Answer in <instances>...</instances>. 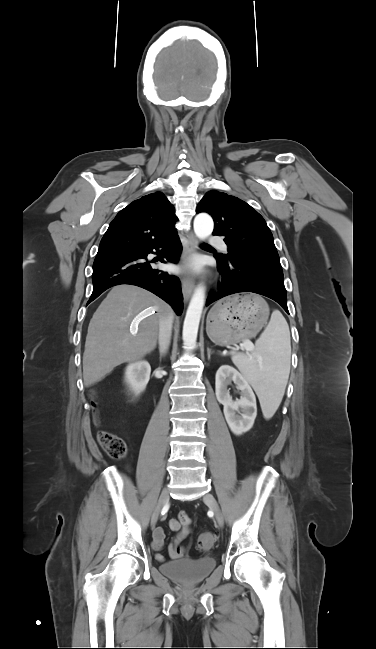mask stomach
<instances>
[{
    "label": "stomach",
    "instance_id": "0dacf381",
    "mask_svg": "<svg viewBox=\"0 0 376 649\" xmlns=\"http://www.w3.org/2000/svg\"><path fill=\"white\" fill-rule=\"evenodd\" d=\"M268 316L269 307L262 297L236 294L213 306L207 317L206 331L216 345H232L255 336Z\"/></svg>",
    "mask_w": 376,
    "mask_h": 649
}]
</instances>
